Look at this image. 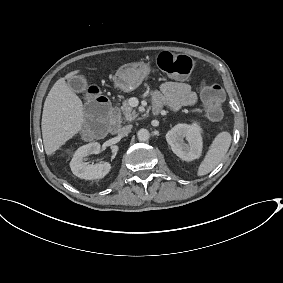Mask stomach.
Listing matches in <instances>:
<instances>
[{
    "mask_svg": "<svg viewBox=\"0 0 283 283\" xmlns=\"http://www.w3.org/2000/svg\"><path fill=\"white\" fill-rule=\"evenodd\" d=\"M153 70L151 63L144 60L124 64L116 71L114 84L125 93L132 92L151 75Z\"/></svg>",
    "mask_w": 283,
    "mask_h": 283,
    "instance_id": "1",
    "label": "stomach"
}]
</instances>
